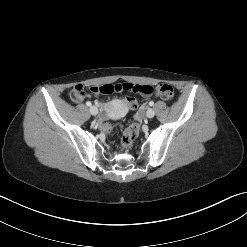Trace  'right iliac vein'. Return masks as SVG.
Segmentation results:
<instances>
[{
	"mask_svg": "<svg viewBox=\"0 0 247 247\" xmlns=\"http://www.w3.org/2000/svg\"><path fill=\"white\" fill-rule=\"evenodd\" d=\"M89 111L94 116L97 115V113H98V109H97L96 106H91L90 109H89Z\"/></svg>",
	"mask_w": 247,
	"mask_h": 247,
	"instance_id": "1",
	"label": "right iliac vein"
}]
</instances>
